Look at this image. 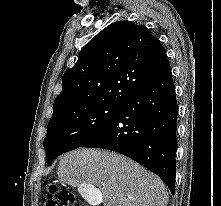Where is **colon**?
Wrapping results in <instances>:
<instances>
[{
    "label": "colon",
    "mask_w": 221,
    "mask_h": 206,
    "mask_svg": "<svg viewBox=\"0 0 221 206\" xmlns=\"http://www.w3.org/2000/svg\"><path fill=\"white\" fill-rule=\"evenodd\" d=\"M73 204L74 196L70 191L58 188L55 184L49 186L46 206H72Z\"/></svg>",
    "instance_id": "1"
}]
</instances>
